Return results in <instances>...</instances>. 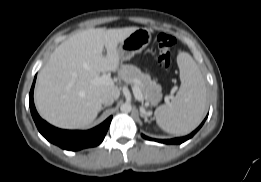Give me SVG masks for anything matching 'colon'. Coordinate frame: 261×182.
I'll use <instances>...</instances> for the list:
<instances>
[{"mask_svg":"<svg viewBox=\"0 0 261 182\" xmlns=\"http://www.w3.org/2000/svg\"><path fill=\"white\" fill-rule=\"evenodd\" d=\"M176 41L173 36L167 33H160L157 36L158 62L159 65L167 69L171 64V49Z\"/></svg>","mask_w":261,"mask_h":182,"instance_id":"5ec220e1","label":"colon"}]
</instances>
